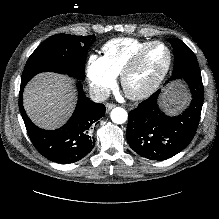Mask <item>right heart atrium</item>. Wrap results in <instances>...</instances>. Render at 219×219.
I'll return each mask as SVG.
<instances>
[{"label": "right heart atrium", "mask_w": 219, "mask_h": 219, "mask_svg": "<svg viewBox=\"0 0 219 219\" xmlns=\"http://www.w3.org/2000/svg\"><path fill=\"white\" fill-rule=\"evenodd\" d=\"M85 72L90 88L97 95L105 94L115 80V75L107 68L102 56L97 54L89 56Z\"/></svg>", "instance_id": "d8ad5b80"}]
</instances>
